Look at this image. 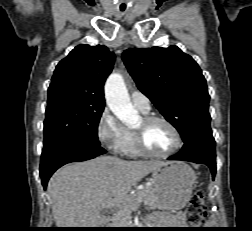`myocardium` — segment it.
I'll list each match as a JSON object with an SVG mask.
<instances>
[{"instance_id": "myocardium-1", "label": "myocardium", "mask_w": 252, "mask_h": 231, "mask_svg": "<svg viewBox=\"0 0 252 231\" xmlns=\"http://www.w3.org/2000/svg\"><path fill=\"white\" fill-rule=\"evenodd\" d=\"M154 122H162L166 124L171 129L175 137V144L173 148L166 153L161 154V153H155L151 151L145 142V131ZM132 131L134 135L135 144L138 150L146 156L155 157V158H168L172 156L173 154H175L182 145V137L178 128L170 120L162 116H157V115L144 116L141 119V126L139 128H133Z\"/></svg>"}]
</instances>
